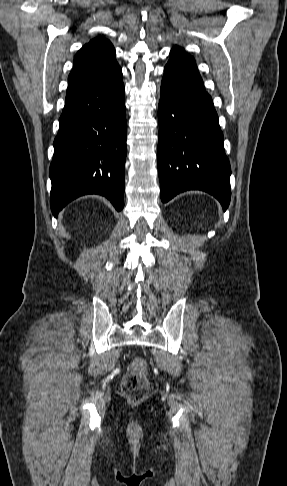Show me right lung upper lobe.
<instances>
[{"label": "right lung upper lobe", "instance_id": "right-lung-upper-lobe-1", "mask_svg": "<svg viewBox=\"0 0 287 486\" xmlns=\"http://www.w3.org/2000/svg\"><path fill=\"white\" fill-rule=\"evenodd\" d=\"M122 76L111 42L94 38L74 57V67L68 77L66 99L111 83Z\"/></svg>", "mask_w": 287, "mask_h": 486}]
</instances>
